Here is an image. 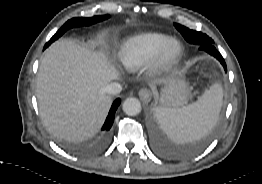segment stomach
Wrapping results in <instances>:
<instances>
[{"instance_id": "0dacf381", "label": "stomach", "mask_w": 262, "mask_h": 184, "mask_svg": "<svg viewBox=\"0 0 262 184\" xmlns=\"http://www.w3.org/2000/svg\"><path fill=\"white\" fill-rule=\"evenodd\" d=\"M190 98L188 83L180 78H174L160 89L159 104L165 108H179Z\"/></svg>"}]
</instances>
